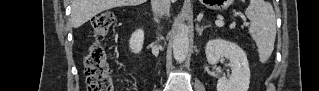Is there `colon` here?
<instances>
[{
  "label": "colon",
  "mask_w": 319,
  "mask_h": 91,
  "mask_svg": "<svg viewBox=\"0 0 319 91\" xmlns=\"http://www.w3.org/2000/svg\"><path fill=\"white\" fill-rule=\"evenodd\" d=\"M114 22L111 12H102L92 20L94 41L84 55L85 75L89 91H115L116 85L101 40Z\"/></svg>",
  "instance_id": "obj_1"
}]
</instances>
